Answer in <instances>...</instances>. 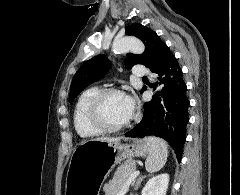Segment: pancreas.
Returning <instances> with one entry per match:
<instances>
[{"label":"pancreas","mask_w":240,"mask_h":195,"mask_svg":"<svg viewBox=\"0 0 240 195\" xmlns=\"http://www.w3.org/2000/svg\"><path fill=\"white\" fill-rule=\"evenodd\" d=\"M133 171H136L134 159H126L124 163H121V165L117 167L112 179H109L108 183H105L103 187L105 195H116V193H120V191L124 189L130 173H133Z\"/></svg>","instance_id":"pancreas-1"}]
</instances>
